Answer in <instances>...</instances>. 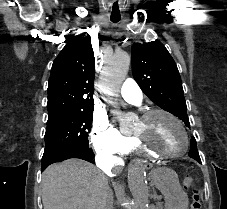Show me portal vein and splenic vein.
Returning <instances> with one entry per match:
<instances>
[{
	"instance_id": "1",
	"label": "portal vein and splenic vein",
	"mask_w": 227,
	"mask_h": 209,
	"mask_svg": "<svg viewBox=\"0 0 227 209\" xmlns=\"http://www.w3.org/2000/svg\"><path fill=\"white\" fill-rule=\"evenodd\" d=\"M161 197H162V196H161L160 194L157 196L158 199H160Z\"/></svg>"
}]
</instances>
